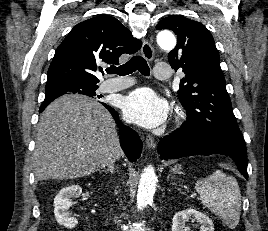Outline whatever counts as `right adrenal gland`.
Returning a JSON list of instances; mask_svg holds the SVG:
<instances>
[{
  "label": "right adrenal gland",
  "mask_w": 268,
  "mask_h": 231,
  "mask_svg": "<svg viewBox=\"0 0 268 231\" xmlns=\"http://www.w3.org/2000/svg\"><path fill=\"white\" fill-rule=\"evenodd\" d=\"M103 172H110L111 175H114V164H110L107 169L100 171V173Z\"/></svg>",
  "instance_id": "1"
}]
</instances>
